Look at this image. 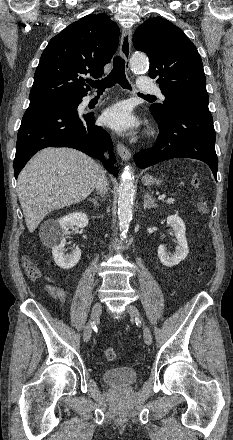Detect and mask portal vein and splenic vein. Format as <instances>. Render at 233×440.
Listing matches in <instances>:
<instances>
[{
	"label": "portal vein and splenic vein",
	"instance_id": "1",
	"mask_svg": "<svg viewBox=\"0 0 233 440\" xmlns=\"http://www.w3.org/2000/svg\"><path fill=\"white\" fill-rule=\"evenodd\" d=\"M166 196L165 195H161L158 197L159 200H163Z\"/></svg>",
	"mask_w": 233,
	"mask_h": 440
}]
</instances>
